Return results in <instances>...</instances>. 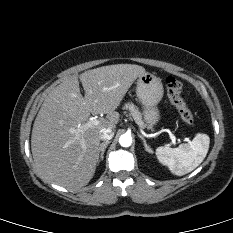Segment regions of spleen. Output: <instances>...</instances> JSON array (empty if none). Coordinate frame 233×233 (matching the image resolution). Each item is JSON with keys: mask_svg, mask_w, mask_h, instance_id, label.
<instances>
[{"mask_svg": "<svg viewBox=\"0 0 233 233\" xmlns=\"http://www.w3.org/2000/svg\"><path fill=\"white\" fill-rule=\"evenodd\" d=\"M209 144V136L198 133L189 144H181L177 148L160 146L155 153L159 162L167 166L172 174L182 176L202 163L207 155Z\"/></svg>", "mask_w": 233, "mask_h": 233, "instance_id": "obj_1", "label": "spleen"}]
</instances>
